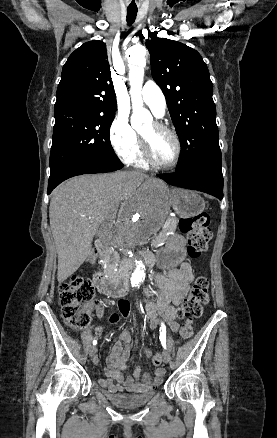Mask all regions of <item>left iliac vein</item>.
<instances>
[{"label":"left iliac vein","mask_w":277,"mask_h":438,"mask_svg":"<svg viewBox=\"0 0 277 438\" xmlns=\"http://www.w3.org/2000/svg\"><path fill=\"white\" fill-rule=\"evenodd\" d=\"M162 357L165 363H168L170 361V354L168 353V351L164 350L162 352Z\"/></svg>","instance_id":"left-iliac-vein-1"}]
</instances>
